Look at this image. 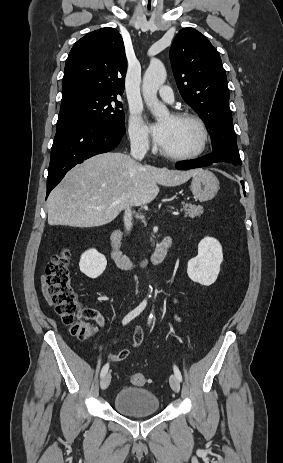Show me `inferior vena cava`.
<instances>
[{
	"label": "inferior vena cava",
	"instance_id": "602c4592",
	"mask_svg": "<svg viewBox=\"0 0 283 463\" xmlns=\"http://www.w3.org/2000/svg\"><path fill=\"white\" fill-rule=\"evenodd\" d=\"M148 150V141L142 137L131 139V156L136 160H142ZM124 225L127 231L132 227V211L129 205L125 208Z\"/></svg>",
	"mask_w": 283,
	"mask_h": 463
}]
</instances>
